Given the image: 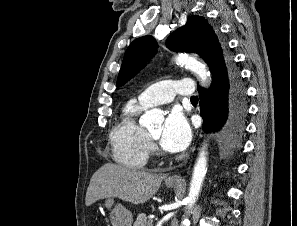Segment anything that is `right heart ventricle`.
I'll use <instances>...</instances> for the list:
<instances>
[{
	"label": "right heart ventricle",
	"mask_w": 297,
	"mask_h": 226,
	"mask_svg": "<svg viewBox=\"0 0 297 226\" xmlns=\"http://www.w3.org/2000/svg\"><path fill=\"white\" fill-rule=\"evenodd\" d=\"M147 107L140 100H130L112 129L110 139L113 159L126 167L142 168L150 152V141L138 116Z\"/></svg>",
	"instance_id": "e07e8e85"
}]
</instances>
